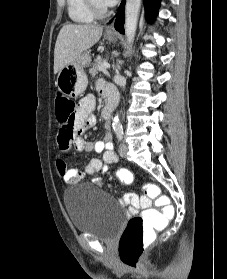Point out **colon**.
I'll list each match as a JSON object with an SVG mask.
<instances>
[{"label":"colon","instance_id":"5ec220e1","mask_svg":"<svg viewBox=\"0 0 227 279\" xmlns=\"http://www.w3.org/2000/svg\"><path fill=\"white\" fill-rule=\"evenodd\" d=\"M55 115L61 125V133L72 137L77 130L74 100L70 97L58 96L55 101ZM116 177L121 183H132L135 180L134 174L128 169L117 171ZM143 186L156 204L162 205L167 202L168 197L157 185L145 181ZM173 216L170 211L165 212L163 208L157 207L145 209L140 215L132 217L119 244L120 259L127 265H136L143 252L144 240L152 237L155 231L161 229L163 223L171 220Z\"/></svg>","mask_w":227,"mask_h":279}]
</instances>
